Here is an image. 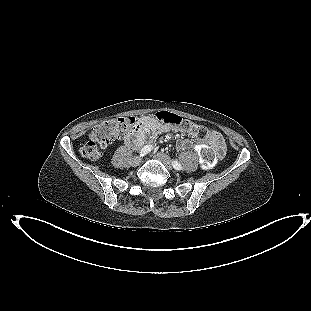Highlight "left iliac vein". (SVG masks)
Wrapping results in <instances>:
<instances>
[{
  "mask_svg": "<svg viewBox=\"0 0 311 311\" xmlns=\"http://www.w3.org/2000/svg\"><path fill=\"white\" fill-rule=\"evenodd\" d=\"M156 158L161 161L168 170L172 169V162L169 156L164 153H157Z\"/></svg>",
  "mask_w": 311,
  "mask_h": 311,
  "instance_id": "4c4485c4",
  "label": "left iliac vein"
}]
</instances>
